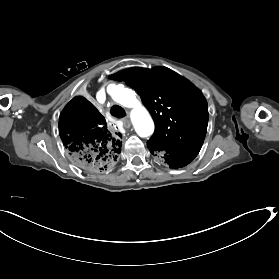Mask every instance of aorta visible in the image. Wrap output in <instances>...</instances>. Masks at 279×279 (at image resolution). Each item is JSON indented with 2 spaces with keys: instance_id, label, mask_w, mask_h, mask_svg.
Masks as SVG:
<instances>
[{
  "instance_id": "762f6f07",
  "label": "aorta",
  "mask_w": 279,
  "mask_h": 279,
  "mask_svg": "<svg viewBox=\"0 0 279 279\" xmlns=\"http://www.w3.org/2000/svg\"><path fill=\"white\" fill-rule=\"evenodd\" d=\"M108 92L117 103L124 107L134 108L131 112V120L136 133L140 137H148L153 134L154 122L147 109L141 106L131 89L117 85L113 89L109 88Z\"/></svg>"
}]
</instances>
